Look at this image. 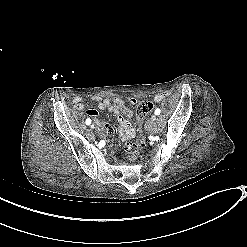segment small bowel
Masks as SVG:
<instances>
[{"label": "small bowel", "instance_id": "obj_1", "mask_svg": "<svg viewBox=\"0 0 247 247\" xmlns=\"http://www.w3.org/2000/svg\"><path fill=\"white\" fill-rule=\"evenodd\" d=\"M167 93H159L154 96V101L159 103L163 101L167 97ZM93 101H96L98 103V109L102 111H110L114 114L120 128V133L115 125L112 123H109L107 120H104L102 122V125L105 128H108L111 130V133H108V141L115 140L118 137L122 140H129L135 136L136 128L135 125L131 124L128 120V118L132 115V110L125 104L123 99L121 97H100V96H93L91 98ZM129 102L132 104H135L137 100L133 97L129 98ZM74 108L77 110H86L88 108L87 103L83 100L81 97H75L73 99ZM88 109L86 112L89 117L96 118L97 115L90 112ZM100 134H103L102 128H99ZM108 147H111V144H108Z\"/></svg>", "mask_w": 247, "mask_h": 247}]
</instances>
